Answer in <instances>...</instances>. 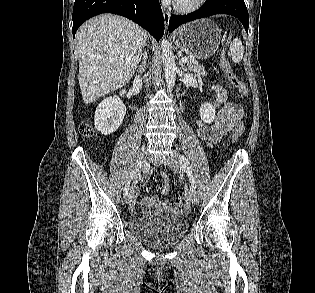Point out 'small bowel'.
Here are the masks:
<instances>
[{
  "instance_id": "c3829d8e",
  "label": "small bowel",
  "mask_w": 315,
  "mask_h": 293,
  "mask_svg": "<svg viewBox=\"0 0 315 293\" xmlns=\"http://www.w3.org/2000/svg\"><path fill=\"white\" fill-rule=\"evenodd\" d=\"M212 89L215 93V104L219 107L217 115L212 123H205L201 120L196 122L198 136L209 145L216 143L231 131L235 132L239 127H244L242 121V108L233 102L227 101V93L223 87L214 85ZM162 177L168 182V177L166 175L163 174ZM133 192L135 198L136 190L133 189ZM168 193L169 185L167 183L161 190V194L167 195ZM141 203L149 212L172 209V204L170 202L161 201L158 196H144L141 199Z\"/></svg>"
}]
</instances>
